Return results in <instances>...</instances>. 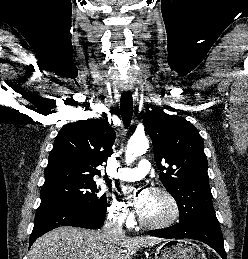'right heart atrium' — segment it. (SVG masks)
<instances>
[{
	"label": "right heart atrium",
	"mask_w": 248,
	"mask_h": 259,
	"mask_svg": "<svg viewBox=\"0 0 248 259\" xmlns=\"http://www.w3.org/2000/svg\"><path fill=\"white\" fill-rule=\"evenodd\" d=\"M109 216L114 222L121 225L129 224L132 220V214L127 204L123 200L116 197H114L111 201Z\"/></svg>",
	"instance_id": "1"
}]
</instances>
